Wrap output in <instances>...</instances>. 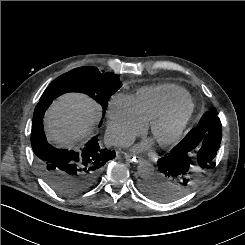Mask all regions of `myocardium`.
Returning a JSON list of instances; mask_svg holds the SVG:
<instances>
[{"label": "myocardium", "mask_w": 245, "mask_h": 245, "mask_svg": "<svg viewBox=\"0 0 245 245\" xmlns=\"http://www.w3.org/2000/svg\"><path fill=\"white\" fill-rule=\"evenodd\" d=\"M194 112L195 103L191 98L186 101L177 103L150 121V134L161 147L171 146L179 141L189 122L191 121ZM174 121L175 125L170 135L163 139L158 138V128L166 123Z\"/></svg>", "instance_id": "myocardium-1"}]
</instances>
